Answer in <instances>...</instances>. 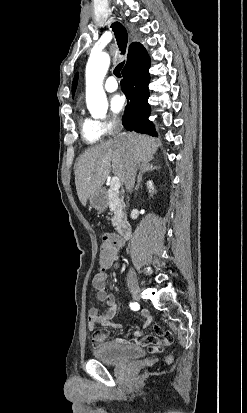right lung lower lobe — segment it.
<instances>
[{
	"mask_svg": "<svg viewBox=\"0 0 247 413\" xmlns=\"http://www.w3.org/2000/svg\"><path fill=\"white\" fill-rule=\"evenodd\" d=\"M148 69L136 75L123 76L121 88L126 94L128 104L125 107L122 123L129 131L156 136L154 126L148 120L151 111L148 104L150 81Z\"/></svg>",
	"mask_w": 247,
	"mask_h": 413,
	"instance_id": "98d812e1",
	"label": "right lung lower lobe"
}]
</instances>
